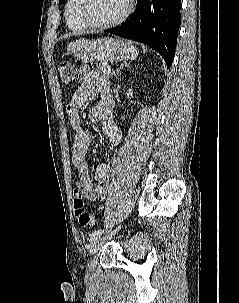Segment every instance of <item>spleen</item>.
<instances>
[{"label": "spleen", "mask_w": 239, "mask_h": 303, "mask_svg": "<svg viewBox=\"0 0 239 303\" xmlns=\"http://www.w3.org/2000/svg\"><path fill=\"white\" fill-rule=\"evenodd\" d=\"M126 52L130 60H135L139 53L138 49L131 43L126 44Z\"/></svg>", "instance_id": "obj_1"}]
</instances>
